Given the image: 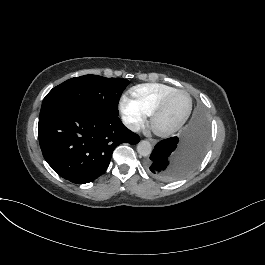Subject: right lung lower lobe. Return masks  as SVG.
Instances as JSON below:
<instances>
[{
  "label": "right lung lower lobe",
  "mask_w": 265,
  "mask_h": 265,
  "mask_svg": "<svg viewBox=\"0 0 265 265\" xmlns=\"http://www.w3.org/2000/svg\"><path fill=\"white\" fill-rule=\"evenodd\" d=\"M38 136L43 156L61 177L77 184L91 182L109 166L121 143L135 145L137 134L118 117H103L71 106L40 115Z\"/></svg>",
  "instance_id": "1"
}]
</instances>
